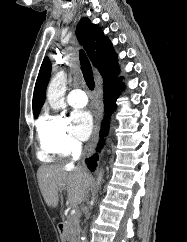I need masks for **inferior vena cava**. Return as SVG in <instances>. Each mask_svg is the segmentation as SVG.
<instances>
[{
	"label": "inferior vena cava",
	"instance_id": "obj_1",
	"mask_svg": "<svg viewBox=\"0 0 187 242\" xmlns=\"http://www.w3.org/2000/svg\"><path fill=\"white\" fill-rule=\"evenodd\" d=\"M81 150H82V146L80 142H74L73 146H72V156H73V160H78L80 155H81Z\"/></svg>",
	"mask_w": 187,
	"mask_h": 242
}]
</instances>
